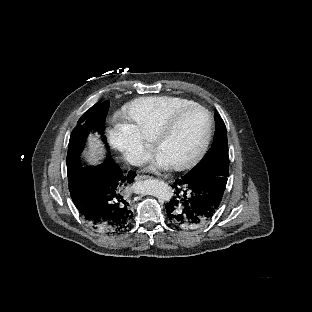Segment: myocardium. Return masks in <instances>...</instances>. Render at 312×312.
Listing matches in <instances>:
<instances>
[{
	"label": "myocardium",
	"mask_w": 312,
	"mask_h": 312,
	"mask_svg": "<svg viewBox=\"0 0 312 312\" xmlns=\"http://www.w3.org/2000/svg\"><path fill=\"white\" fill-rule=\"evenodd\" d=\"M183 116H195L200 118V129L202 138L200 140L199 148L196 149L190 156L184 160H177L172 164L171 169L174 172H182L188 170L200 162L209 153L211 147V139L214 136L216 130V123L213 113L204 104H189L187 106L182 105L175 110L169 112L165 121L161 124V130L159 135L156 136V147L159 150L164 149L165 141L169 139L170 133L176 127L177 122L183 118Z\"/></svg>",
	"instance_id": "myocardium-1"
}]
</instances>
